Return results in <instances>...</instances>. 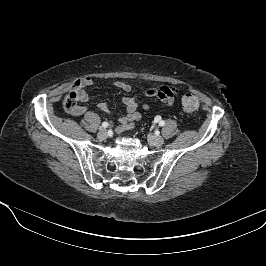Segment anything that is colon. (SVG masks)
<instances>
[{"mask_svg":"<svg viewBox=\"0 0 266 266\" xmlns=\"http://www.w3.org/2000/svg\"><path fill=\"white\" fill-rule=\"evenodd\" d=\"M79 103V96L76 90H72L68 93L63 101V106L66 111L72 113L78 106ZM199 100L196 96L192 94H185L182 97V107L186 112L197 116L199 112Z\"/></svg>","mask_w":266,"mask_h":266,"instance_id":"colon-1","label":"colon"}]
</instances>
